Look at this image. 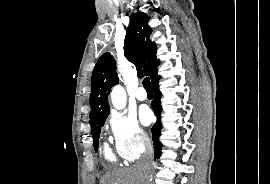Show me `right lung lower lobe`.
Segmentation results:
<instances>
[{
    "label": "right lung lower lobe",
    "instance_id": "1",
    "mask_svg": "<svg viewBox=\"0 0 270 184\" xmlns=\"http://www.w3.org/2000/svg\"><path fill=\"white\" fill-rule=\"evenodd\" d=\"M160 79V76H156L152 81L153 91L155 95V99L152 102V107L154 109V113L157 117L156 123L153 125L151 131L153 136V144H154V151H155V158H158L161 153V143L158 141L160 136V129L162 127L160 119H161V111L162 107L160 105V97L161 92L159 91L158 87V80Z\"/></svg>",
    "mask_w": 270,
    "mask_h": 184
}]
</instances>
